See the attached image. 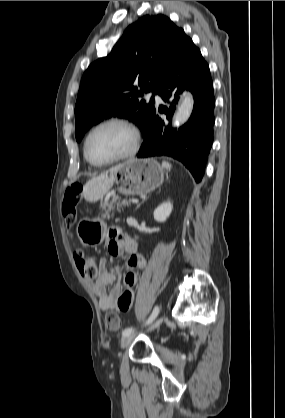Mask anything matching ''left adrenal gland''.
<instances>
[{
  "label": "left adrenal gland",
  "instance_id": "left-adrenal-gland-1",
  "mask_svg": "<svg viewBox=\"0 0 285 418\" xmlns=\"http://www.w3.org/2000/svg\"><path fill=\"white\" fill-rule=\"evenodd\" d=\"M146 199H147V198H143L141 203H143ZM141 203H139V204L137 205V207H139V206L141 205Z\"/></svg>",
  "mask_w": 285,
  "mask_h": 418
}]
</instances>
